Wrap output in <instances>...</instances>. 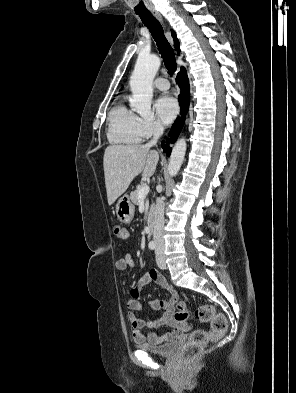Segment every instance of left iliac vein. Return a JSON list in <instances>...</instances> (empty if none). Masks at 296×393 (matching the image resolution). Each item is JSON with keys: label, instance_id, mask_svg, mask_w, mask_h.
<instances>
[{"label": "left iliac vein", "instance_id": "1", "mask_svg": "<svg viewBox=\"0 0 296 393\" xmlns=\"http://www.w3.org/2000/svg\"><path fill=\"white\" fill-rule=\"evenodd\" d=\"M156 262L160 269H166V262L163 254V250L160 248L156 249Z\"/></svg>", "mask_w": 296, "mask_h": 393}]
</instances>
